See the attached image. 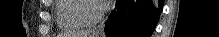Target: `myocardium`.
Instances as JSON below:
<instances>
[{"instance_id": "f54148a6", "label": "myocardium", "mask_w": 219, "mask_h": 37, "mask_svg": "<svg viewBox=\"0 0 219 37\" xmlns=\"http://www.w3.org/2000/svg\"><path fill=\"white\" fill-rule=\"evenodd\" d=\"M93 2H97V1L83 0L82 8H81L82 17L84 18L86 23L89 25H94V24L99 23L103 19L107 11V5H106V6L100 7V10L97 13L91 12L90 8Z\"/></svg>"}]
</instances>
